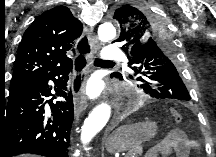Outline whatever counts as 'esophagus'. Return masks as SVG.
<instances>
[{"instance_id": "1", "label": "esophagus", "mask_w": 216, "mask_h": 157, "mask_svg": "<svg viewBox=\"0 0 216 157\" xmlns=\"http://www.w3.org/2000/svg\"><path fill=\"white\" fill-rule=\"evenodd\" d=\"M87 40H88V47L86 48V50L81 52L79 46L77 47L76 58L74 60V65H73L74 76L76 77L79 76L80 74L84 76L83 82L81 83L76 82L72 86L74 108L76 111H83L87 105V96L85 94V86H86L85 80L92 59L98 49L97 38L92 36L89 31L87 34Z\"/></svg>"}]
</instances>
